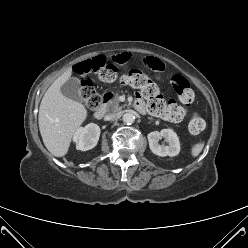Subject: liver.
I'll return each mask as SVG.
<instances>
[{"mask_svg": "<svg viewBox=\"0 0 248 248\" xmlns=\"http://www.w3.org/2000/svg\"><path fill=\"white\" fill-rule=\"evenodd\" d=\"M71 74L69 68L51 84L39 107L38 124L44 145L56 157L67 154L72 137L87 117L84 105L60 91Z\"/></svg>", "mask_w": 248, "mask_h": 248, "instance_id": "1", "label": "liver"}]
</instances>
